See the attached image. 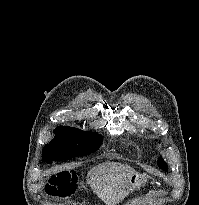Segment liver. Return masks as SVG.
<instances>
[{"label": "liver", "instance_id": "liver-1", "mask_svg": "<svg viewBox=\"0 0 199 205\" xmlns=\"http://www.w3.org/2000/svg\"><path fill=\"white\" fill-rule=\"evenodd\" d=\"M135 170L121 163L105 162L93 167L87 175V183L93 192L107 205H116L128 194V178Z\"/></svg>", "mask_w": 199, "mask_h": 205}]
</instances>
